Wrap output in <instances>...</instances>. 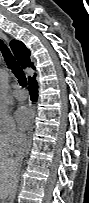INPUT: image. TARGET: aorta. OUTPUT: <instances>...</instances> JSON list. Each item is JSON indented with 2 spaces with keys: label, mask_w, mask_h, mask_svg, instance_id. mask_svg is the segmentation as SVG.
I'll return each instance as SVG.
<instances>
[{
  "label": "aorta",
  "mask_w": 89,
  "mask_h": 203,
  "mask_svg": "<svg viewBox=\"0 0 89 203\" xmlns=\"http://www.w3.org/2000/svg\"><path fill=\"white\" fill-rule=\"evenodd\" d=\"M8 81V74H5V76L3 77L2 83L3 85H5ZM0 102H1V110L2 113H7L8 110V95L5 91H2L1 96H0Z\"/></svg>",
  "instance_id": "aorta-1"
}]
</instances>
